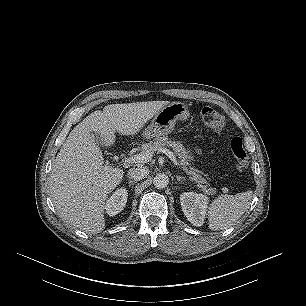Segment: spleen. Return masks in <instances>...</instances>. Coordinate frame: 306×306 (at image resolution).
I'll return each mask as SVG.
<instances>
[{
    "label": "spleen",
    "mask_w": 306,
    "mask_h": 306,
    "mask_svg": "<svg viewBox=\"0 0 306 306\" xmlns=\"http://www.w3.org/2000/svg\"><path fill=\"white\" fill-rule=\"evenodd\" d=\"M253 191L236 195H222L216 198L208 209V227L211 230H223L231 227L248 209Z\"/></svg>",
    "instance_id": "1"
}]
</instances>
